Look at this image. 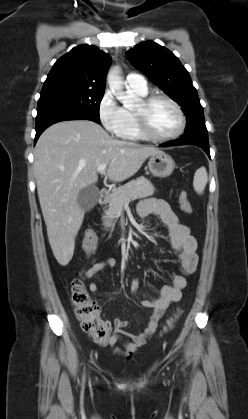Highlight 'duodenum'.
I'll list each match as a JSON object with an SVG mask.
<instances>
[{
  "label": "duodenum",
  "instance_id": "duodenum-1",
  "mask_svg": "<svg viewBox=\"0 0 248 419\" xmlns=\"http://www.w3.org/2000/svg\"><path fill=\"white\" fill-rule=\"evenodd\" d=\"M109 192L106 189H101L99 194V204L105 205L108 201Z\"/></svg>",
  "mask_w": 248,
  "mask_h": 419
}]
</instances>
